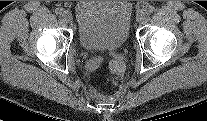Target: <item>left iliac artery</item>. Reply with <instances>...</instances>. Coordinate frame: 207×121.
<instances>
[{"mask_svg": "<svg viewBox=\"0 0 207 121\" xmlns=\"http://www.w3.org/2000/svg\"><path fill=\"white\" fill-rule=\"evenodd\" d=\"M154 10H155V8H154V6H152V5L146 6V7L144 8V12H145L146 14H151Z\"/></svg>", "mask_w": 207, "mask_h": 121, "instance_id": "left-iliac-artery-1", "label": "left iliac artery"}]
</instances>
